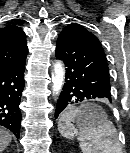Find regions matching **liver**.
I'll return each instance as SVG.
<instances>
[{
  "mask_svg": "<svg viewBox=\"0 0 130 153\" xmlns=\"http://www.w3.org/2000/svg\"><path fill=\"white\" fill-rule=\"evenodd\" d=\"M12 136L8 131L0 127V153L10 144Z\"/></svg>",
  "mask_w": 130,
  "mask_h": 153,
  "instance_id": "6515ba94",
  "label": "liver"
}]
</instances>
